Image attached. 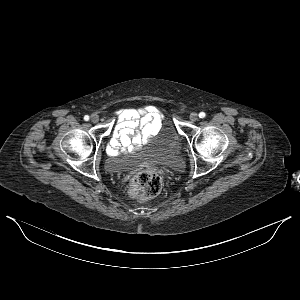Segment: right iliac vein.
<instances>
[{"label": "right iliac vein", "instance_id": "1", "mask_svg": "<svg viewBox=\"0 0 300 300\" xmlns=\"http://www.w3.org/2000/svg\"><path fill=\"white\" fill-rule=\"evenodd\" d=\"M90 119L93 123H97L99 121V116L97 114H92Z\"/></svg>", "mask_w": 300, "mask_h": 300}]
</instances>
